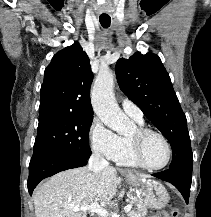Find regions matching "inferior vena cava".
<instances>
[{"label": "inferior vena cava", "mask_w": 211, "mask_h": 217, "mask_svg": "<svg viewBox=\"0 0 211 217\" xmlns=\"http://www.w3.org/2000/svg\"><path fill=\"white\" fill-rule=\"evenodd\" d=\"M109 163L99 152H94L89 159V168L96 174L100 175L104 168L108 167Z\"/></svg>", "instance_id": "inferior-vena-cava-1"}]
</instances>
